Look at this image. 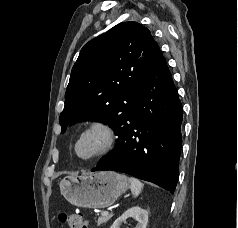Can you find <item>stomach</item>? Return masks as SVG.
<instances>
[{
    "mask_svg": "<svg viewBox=\"0 0 238 228\" xmlns=\"http://www.w3.org/2000/svg\"><path fill=\"white\" fill-rule=\"evenodd\" d=\"M61 194L72 205L83 208H105L129 188L125 175L101 171L90 175L66 176L60 184Z\"/></svg>",
    "mask_w": 238,
    "mask_h": 228,
    "instance_id": "obj_1",
    "label": "stomach"
}]
</instances>
